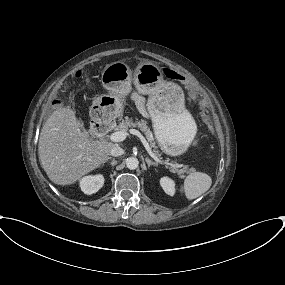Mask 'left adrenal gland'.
Here are the masks:
<instances>
[{
	"label": "left adrenal gland",
	"mask_w": 285,
	"mask_h": 285,
	"mask_svg": "<svg viewBox=\"0 0 285 285\" xmlns=\"http://www.w3.org/2000/svg\"><path fill=\"white\" fill-rule=\"evenodd\" d=\"M145 161H146V163H147V165H148V168H149L150 166H156V163L153 162V161H151L148 157L145 158Z\"/></svg>",
	"instance_id": "left-adrenal-gland-1"
}]
</instances>
